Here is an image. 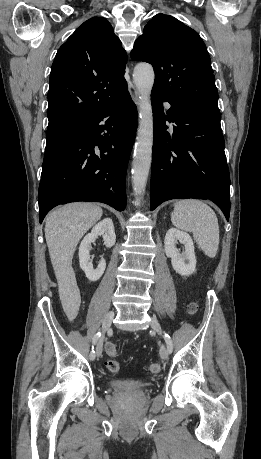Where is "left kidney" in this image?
Listing matches in <instances>:
<instances>
[{
  "label": "left kidney",
  "instance_id": "obj_1",
  "mask_svg": "<svg viewBox=\"0 0 261 459\" xmlns=\"http://www.w3.org/2000/svg\"><path fill=\"white\" fill-rule=\"evenodd\" d=\"M184 245L185 251L180 253L176 244ZM166 256L171 258V264L176 273L182 276H189L196 271V257L194 243L191 236L176 228H170L164 239Z\"/></svg>",
  "mask_w": 261,
  "mask_h": 459
}]
</instances>
